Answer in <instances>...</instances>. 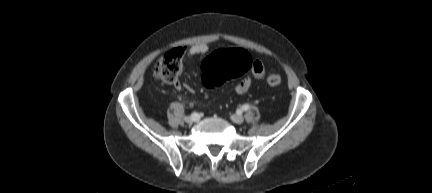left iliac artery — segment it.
I'll list each match as a JSON object with an SVG mask.
<instances>
[{
  "label": "left iliac artery",
  "instance_id": "44dca946",
  "mask_svg": "<svg viewBox=\"0 0 432 193\" xmlns=\"http://www.w3.org/2000/svg\"><path fill=\"white\" fill-rule=\"evenodd\" d=\"M250 108V106L248 104H244L242 106V110L247 111Z\"/></svg>",
  "mask_w": 432,
  "mask_h": 193
}]
</instances>
